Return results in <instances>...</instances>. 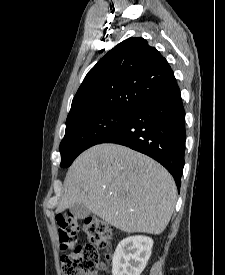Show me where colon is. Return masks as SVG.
<instances>
[{
  "label": "colon",
  "mask_w": 225,
  "mask_h": 275,
  "mask_svg": "<svg viewBox=\"0 0 225 275\" xmlns=\"http://www.w3.org/2000/svg\"><path fill=\"white\" fill-rule=\"evenodd\" d=\"M80 221L69 214L57 218L58 239L63 249L73 248L61 258L63 275H94L101 263L99 249L106 250L113 239V228L97 217H87L82 221V228L90 242L89 245L76 247ZM103 258L108 259L105 253Z\"/></svg>",
  "instance_id": "obj_1"
}]
</instances>
